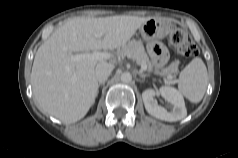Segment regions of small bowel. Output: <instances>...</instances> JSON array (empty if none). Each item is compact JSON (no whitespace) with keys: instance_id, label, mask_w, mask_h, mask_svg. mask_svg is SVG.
Wrapping results in <instances>:
<instances>
[{"instance_id":"small-bowel-1","label":"small bowel","mask_w":238,"mask_h":158,"mask_svg":"<svg viewBox=\"0 0 238 158\" xmlns=\"http://www.w3.org/2000/svg\"><path fill=\"white\" fill-rule=\"evenodd\" d=\"M148 52L157 65H163L166 63L168 58L167 51L162 44L156 42L150 43L148 45Z\"/></svg>"}]
</instances>
